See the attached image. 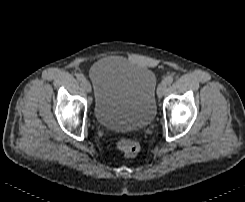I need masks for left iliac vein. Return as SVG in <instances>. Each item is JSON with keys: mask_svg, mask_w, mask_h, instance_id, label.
Wrapping results in <instances>:
<instances>
[{"mask_svg": "<svg viewBox=\"0 0 245 202\" xmlns=\"http://www.w3.org/2000/svg\"><path fill=\"white\" fill-rule=\"evenodd\" d=\"M166 90H167V84H165L164 82L160 83L158 88H157L158 97L159 98L162 97Z\"/></svg>", "mask_w": 245, "mask_h": 202, "instance_id": "obj_1", "label": "left iliac vein"}]
</instances>
